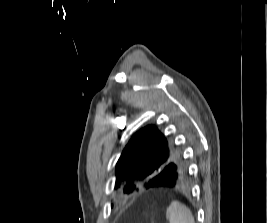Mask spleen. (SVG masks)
<instances>
[{
    "label": "spleen",
    "mask_w": 267,
    "mask_h": 223,
    "mask_svg": "<svg viewBox=\"0 0 267 223\" xmlns=\"http://www.w3.org/2000/svg\"><path fill=\"white\" fill-rule=\"evenodd\" d=\"M169 223H195L191 210L184 204L173 201L166 210Z\"/></svg>",
    "instance_id": "1"
}]
</instances>
